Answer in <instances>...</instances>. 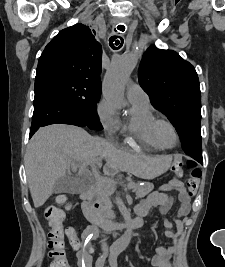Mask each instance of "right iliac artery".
I'll use <instances>...</instances> for the list:
<instances>
[{"mask_svg":"<svg viewBox=\"0 0 225 267\" xmlns=\"http://www.w3.org/2000/svg\"><path fill=\"white\" fill-rule=\"evenodd\" d=\"M106 257H107V253L101 255L97 261H96V264H95V267H103L104 266V263H105V260H106ZM82 267H85V265L82 263Z\"/></svg>","mask_w":225,"mask_h":267,"instance_id":"obj_1","label":"right iliac artery"}]
</instances>
